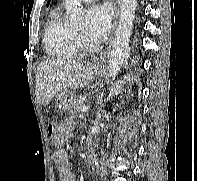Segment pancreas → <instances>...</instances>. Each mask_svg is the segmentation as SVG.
<instances>
[{
	"mask_svg": "<svg viewBox=\"0 0 197 181\" xmlns=\"http://www.w3.org/2000/svg\"><path fill=\"white\" fill-rule=\"evenodd\" d=\"M86 103V96H77L72 101V106L75 111H80Z\"/></svg>",
	"mask_w": 197,
	"mask_h": 181,
	"instance_id": "cf45deb5",
	"label": "pancreas"
}]
</instances>
